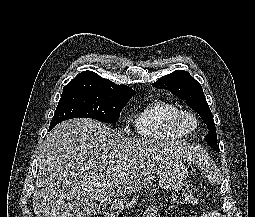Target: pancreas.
I'll list each match as a JSON object with an SVG mask.
<instances>
[{"label": "pancreas", "instance_id": "cf45deb5", "mask_svg": "<svg viewBox=\"0 0 255 217\" xmlns=\"http://www.w3.org/2000/svg\"><path fill=\"white\" fill-rule=\"evenodd\" d=\"M137 204V199L134 198L132 199L130 202L126 203V208H132L133 206H135Z\"/></svg>", "mask_w": 255, "mask_h": 217}]
</instances>
